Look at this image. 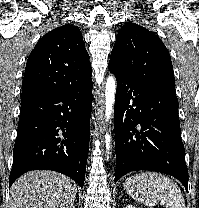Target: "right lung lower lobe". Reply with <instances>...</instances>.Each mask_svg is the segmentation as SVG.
Masks as SVG:
<instances>
[{
	"label": "right lung lower lobe",
	"mask_w": 199,
	"mask_h": 208,
	"mask_svg": "<svg viewBox=\"0 0 199 208\" xmlns=\"http://www.w3.org/2000/svg\"><path fill=\"white\" fill-rule=\"evenodd\" d=\"M92 79L74 88L21 102L9 186L25 172L63 173L81 187L90 138Z\"/></svg>",
	"instance_id": "right-lung-lower-lobe-1"
}]
</instances>
